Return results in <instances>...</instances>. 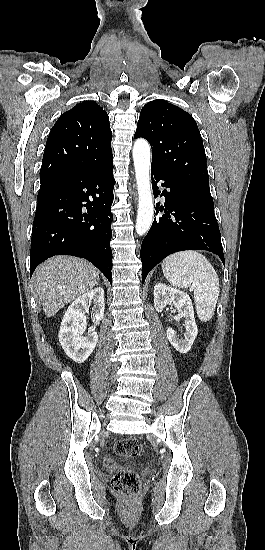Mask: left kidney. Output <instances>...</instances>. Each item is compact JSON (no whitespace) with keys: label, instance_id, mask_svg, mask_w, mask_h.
Returning <instances> with one entry per match:
<instances>
[{"label":"left kidney","instance_id":"obj_1","mask_svg":"<svg viewBox=\"0 0 265 550\" xmlns=\"http://www.w3.org/2000/svg\"><path fill=\"white\" fill-rule=\"evenodd\" d=\"M167 305L175 306L179 316L184 318L185 333H183V338H179L177 332L170 327L167 328L166 334L172 346L178 352L185 354L191 349L198 334L192 301L187 293L158 283L154 286V307L156 311L162 312Z\"/></svg>","mask_w":265,"mask_h":550}]
</instances>
